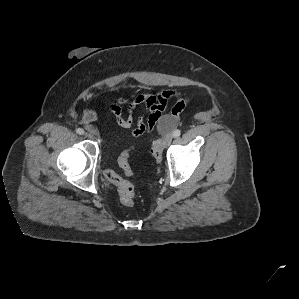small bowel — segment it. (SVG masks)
<instances>
[{
	"label": "small bowel",
	"instance_id": "obj_1",
	"mask_svg": "<svg viewBox=\"0 0 299 299\" xmlns=\"http://www.w3.org/2000/svg\"><path fill=\"white\" fill-rule=\"evenodd\" d=\"M171 99L175 103L169 117L175 121L188 105V99L174 90H166L158 95L134 92L128 97H118L110 105L109 111L120 127L132 128V135L140 137L153 131ZM138 106L145 107L146 116H140L135 120L133 112ZM83 120L90 131H96L93 123L98 120V116L94 111L85 110Z\"/></svg>",
	"mask_w": 299,
	"mask_h": 299
}]
</instances>
